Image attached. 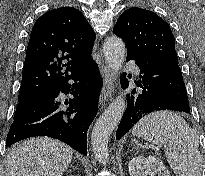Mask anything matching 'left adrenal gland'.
Returning <instances> with one entry per match:
<instances>
[{"instance_id": "left-adrenal-gland-1", "label": "left adrenal gland", "mask_w": 205, "mask_h": 176, "mask_svg": "<svg viewBox=\"0 0 205 176\" xmlns=\"http://www.w3.org/2000/svg\"><path fill=\"white\" fill-rule=\"evenodd\" d=\"M136 148L139 149V144H137V147H134V148H132V149H136Z\"/></svg>"}]
</instances>
